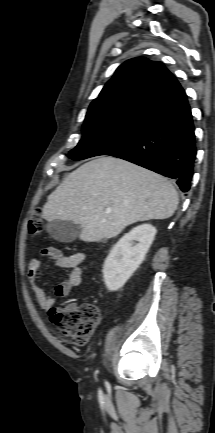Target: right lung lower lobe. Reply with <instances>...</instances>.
I'll return each mask as SVG.
<instances>
[{"mask_svg": "<svg viewBox=\"0 0 215 433\" xmlns=\"http://www.w3.org/2000/svg\"><path fill=\"white\" fill-rule=\"evenodd\" d=\"M194 130L183 91L150 112L133 140L109 155L175 179L180 189L187 192L196 156Z\"/></svg>", "mask_w": 215, "mask_h": 433, "instance_id": "obj_1", "label": "right lung lower lobe"}]
</instances>
